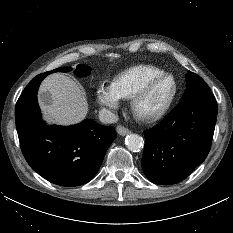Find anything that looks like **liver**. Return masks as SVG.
I'll return each mask as SVG.
<instances>
[{
	"instance_id": "obj_1",
	"label": "liver",
	"mask_w": 233,
	"mask_h": 233,
	"mask_svg": "<svg viewBox=\"0 0 233 233\" xmlns=\"http://www.w3.org/2000/svg\"><path fill=\"white\" fill-rule=\"evenodd\" d=\"M49 92L51 103L40 100L44 117L62 125L76 124L88 113V103L83 88L64 74L48 76L40 87V92Z\"/></svg>"
}]
</instances>
